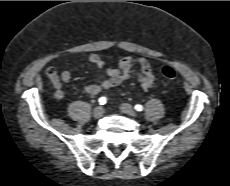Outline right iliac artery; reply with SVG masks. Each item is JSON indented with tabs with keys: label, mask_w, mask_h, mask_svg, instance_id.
Masks as SVG:
<instances>
[{
	"label": "right iliac artery",
	"mask_w": 230,
	"mask_h": 186,
	"mask_svg": "<svg viewBox=\"0 0 230 186\" xmlns=\"http://www.w3.org/2000/svg\"><path fill=\"white\" fill-rule=\"evenodd\" d=\"M98 101H99L100 105H104L107 102V98L106 97H100Z\"/></svg>",
	"instance_id": "right-iliac-artery-1"
}]
</instances>
